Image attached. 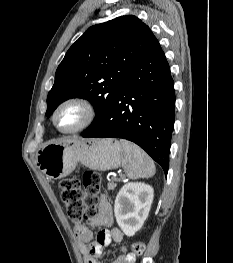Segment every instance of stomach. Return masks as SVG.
<instances>
[{"instance_id":"1","label":"stomach","mask_w":233,"mask_h":263,"mask_svg":"<svg viewBox=\"0 0 233 263\" xmlns=\"http://www.w3.org/2000/svg\"><path fill=\"white\" fill-rule=\"evenodd\" d=\"M123 156V146L115 139L64 138L42 145L36 153V164L47 177L56 180L69 175L79 162L92 170L116 169Z\"/></svg>"}]
</instances>
